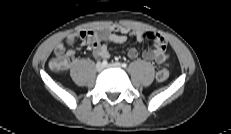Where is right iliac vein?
Masks as SVG:
<instances>
[{
    "mask_svg": "<svg viewBox=\"0 0 231 134\" xmlns=\"http://www.w3.org/2000/svg\"><path fill=\"white\" fill-rule=\"evenodd\" d=\"M103 69H104V66H103L101 63H97V64H96V70H97L98 72L102 71Z\"/></svg>",
    "mask_w": 231,
    "mask_h": 134,
    "instance_id": "63e3f726",
    "label": "right iliac vein"
}]
</instances>
